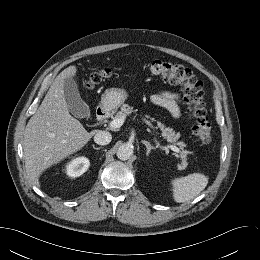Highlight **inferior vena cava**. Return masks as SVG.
Returning <instances> with one entry per match:
<instances>
[{"mask_svg":"<svg viewBox=\"0 0 260 260\" xmlns=\"http://www.w3.org/2000/svg\"><path fill=\"white\" fill-rule=\"evenodd\" d=\"M112 135L108 131L99 130L94 136V141L98 145H107L111 142Z\"/></svg>","mask_w":260,"mask_h":260,"instance_id":"1","label":"inferior vena cava"}]
</instances>
